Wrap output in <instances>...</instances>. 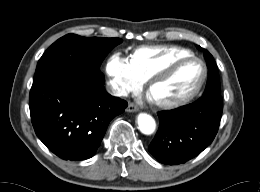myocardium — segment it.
<instances>
[{
	"instance_id": "obj_1",
	"label": "myocardium",
	"mask_w": 260,
	"mask_h": 192,
	"mask_svg": "<svg viewBox=\"0 0 260 192\" xmlns=\"http://www.w3.org/2000/svg\"><path fill=\"white\" fill-rule=\"evenodd\" d=\"M186 63H196L200 66V76H199L196 84L193 86V88L190 89L185 94H183L182 96H179V97L174 98V99H170V100L156 99L151 93L153 86L156 83H158L159 81H161V80L167 78L168 76H170L178 67H180V66H182ZM205 78H206V68H205L204 63L201 60H199L198 58L186 57V58H182V59H179V60L172 62L171 64H169L165 68H163L160 71L153 74L148 79L147 92H148L149 96L154 100V102L157 105H159L161 107H170V106L184 102V101L192 98L201 89V87H202V85L205 81Z\"/></svg>"
}]
</instances>
